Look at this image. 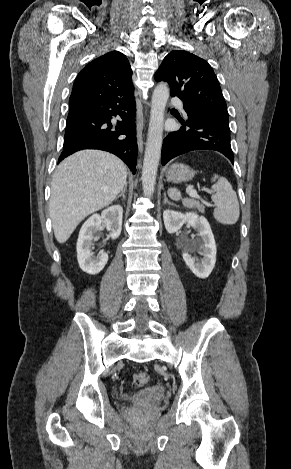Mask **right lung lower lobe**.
<instances>
[{
    "mask_svg": "<svg viewBox=\"0 0 291 469\" xmlns=\"http://www.w3.org/2000/svg\"><path fill=\"white\" fill-rule=\"evenodd\" d=\"M134 96L109 95L71 107L66 122L62 161L82 149L111 152L136 171L137 141ZM118 118L117 122L112 119Z\"/></svg>",
    "mask_w": 291,
    "mask_h": 469,
    "instance_id": "obj_1",
    "label": "right lung lower lobe"
}]
</instances>
